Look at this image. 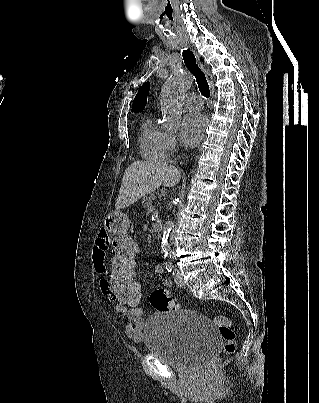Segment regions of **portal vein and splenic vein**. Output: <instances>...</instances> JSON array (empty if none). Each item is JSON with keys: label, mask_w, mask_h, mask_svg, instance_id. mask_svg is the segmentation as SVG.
<instances>
[{"label": "portal vein and splenic vein", "mask_w": 319, "mask_h": 403, "mask_svg": "<svg viewBox=\"0 0 319 403\" xmlns=\"http://www.w3.org/2000/svg\"><path fill=\"white\" fill-rule=\"evenodd\" d=\"M149 209L153 211V210H155V207L151 206Z\"/></svg>", "instance_id": "portal-vein-and-splenic-vein-1"}]
</instances>
